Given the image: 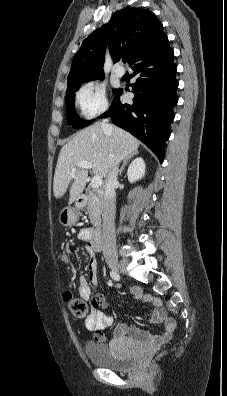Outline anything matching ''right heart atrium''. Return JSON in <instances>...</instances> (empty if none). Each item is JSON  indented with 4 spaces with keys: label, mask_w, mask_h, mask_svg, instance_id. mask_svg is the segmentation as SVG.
<instances>
[{
    "label": "right heart atrium",
    "mask_w": 227,
    "mask_h": 396,
    "mask_svg": "<svg viewBox=\"0 0 227 396\" xmlns=\"http://www.w3.org/2000/svg\"><path fill=\"white\" fill-rule=\"evenodd\" d=\"M76 103L85 119L103 114L108 109L105 87L98 81L85 83L76 94Z\"/></svg>",
    "instance_id": "d8ad5b80"
}]
</instances>
